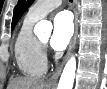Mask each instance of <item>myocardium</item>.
Instances as JSON below:
<instances>
[{
  "label": "myocardium",
  "instance_id": "1",
  "mask_svg": "<svg viewBox=\"0 0 107 89\" xmlns=\"http://www.w3.org/2000/svg\"><path fill=\"white\" fill-rule=\"evenodd\" d=\"M40 44H41V46L44 48L45 47V45H46V43L45 42H43V41H41L40 40Z\"/></svg>",
  "mask_w": 107,
  "mask_h": 89
}]
</instances>
